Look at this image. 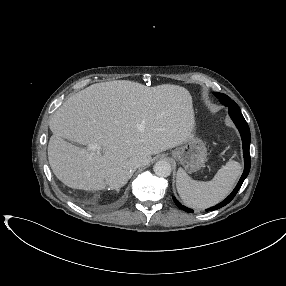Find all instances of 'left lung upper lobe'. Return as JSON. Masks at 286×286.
<instances>
[{"mask_svg":"<svg viewBox=\"0 0 286 286\" xmlns=\"http://www.w3.org/2000/svg\"><path fill=\"white\" fill-rule=\"evenodd\" d=\"M214 95L220 100V102L229 108V111H240L238 105L224 93L214 92Z\"/></svg>","mask_w":286,"mask_h":286,"instance_id":"5c2ea615","label":"left lung upper lobe"}]
</instances>
